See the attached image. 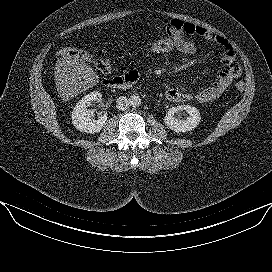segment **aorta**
Listing matches in <instances>:
<instances>
[{
  "mask_svg": "<svg viewBox=\"0 0 272 272\" xmlns=\"http://www.w3.org/2000/svg\"><path fill=\"white\" fill-rule=\"evenodd\" d=\"M130 106L133 108L139 107L141 105V98L139 96L133 95L129 99Z\"/></svg>",
  "mask_w": 272,
  "mask_h": 272,
  "instance_id": "obj_1",
  "label": "aorta"
}]
</instances>
